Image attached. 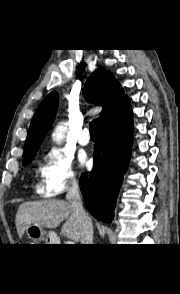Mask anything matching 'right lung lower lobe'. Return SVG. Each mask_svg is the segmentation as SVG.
<instances>
[{"instance_id": "obj_1", "label": "right lung lower lobe", "mask_w": 180, "mask_h": 294, "mask_svg": "<svg viewBox=\"0 0 180 294\" xmlns=\"http://www.w3.org/2000/svg\"><path fill=\"white\" fill-rule=\"evenodd\" d=\"M129 99L105 116L94 147V168L82 174V194L92 215L104 222L114 217L116 198L127 170L133 141Z\"/></svg>"}]
</instances>
